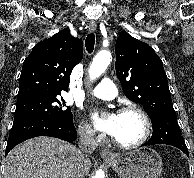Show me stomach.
I'll list each match as a JSON object with an SVG mask.
<instances>
[{
    "instance_id": "1",
    "label": "stomach",
    "mask_w": 194,
    "mask_h": 178,
    "mask_svg": "<svg viewBox=\"0 0 194 178\" xmlns=\"http://www.w3.org/2000/svg\"><path fill=\"white\" fill-rule=\"evenodd\" d=\"M121 178H158L162 172V159L153 149L144 147L105 159Z\"/></svg>"
}]
</instances>
